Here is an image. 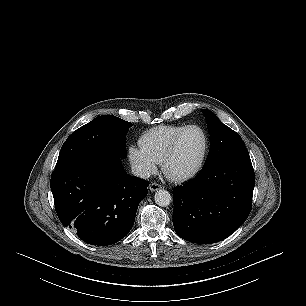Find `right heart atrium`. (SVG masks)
Returning a JSON list of instances; mask_svg holds the SVG:
<instances>
[{
  "label": "right heart atrium",
  "instance_id": "1",
  "mask_svg": "<svg viewBox=\"0 0 306 306\" xmlns=\"http://www.w3.org/2000/svg\"><path fill=\"white\" fill-rule=\"evenodd\" d=\"M128 159L134 171L143 178L149 177L157 170L158 162L141 146L130 145Z\"/></svg>",
  "mask_w": 306,
  "mask_h": 306
}]
</instances>
